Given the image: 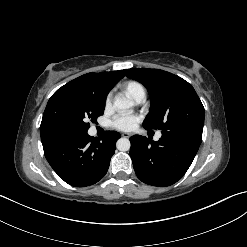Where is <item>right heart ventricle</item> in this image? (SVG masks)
Wrapping results in <instances>:
<instances>
[{
  "instance_id": "e07e8e85",
  "label": "right heart ventricle",
  "mask_w": 247,
  "mask_h": 247,
  "mask_svg": "<svg viewBox=\"0 0 247 247\" xmlns=\"http://www.w3.org/2000/svg\"><path fill=\"white\" fill-rule=\"evenodd\" d=\"M124 90L131 98H135L140 92L144 91L143 86L136 81H129L124 85Z\"/></svg>"
}]
</instances>
